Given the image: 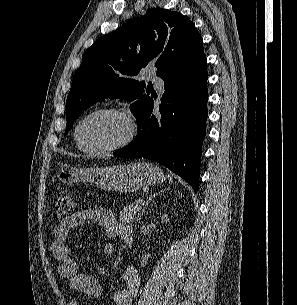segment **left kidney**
Masks as SVG:
<instances>
[{
    "label": "left kidney",
    "mask_w": 297,
    "mask_h": 305,
    "mask_svg": "<svg viewBox=\"0 0 297 305\" xmlns=\"http://www.w3.org/2000/svg\"><path fill=\"white\" fill-rule=\"evenodd\" d=\"M161 222L162 223H166L169 222V218H168V215L167 214H164L161 218ZM150 257V254H145L143 257H142V264L141 266H144L148 260V258Z\"/></svg>",
    "instance_id": "obj_1"
}]
</instances>
